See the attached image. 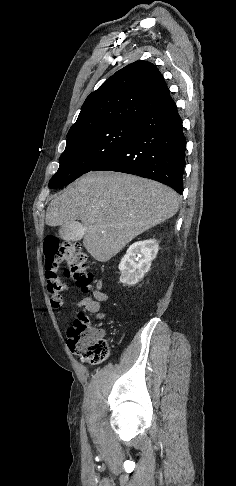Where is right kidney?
<instances>
[{"label":"right kidney","mask_w":236,"mask_h":486,"mask_svg":"<svg viewBox=\"0 0 236 486\" xmlns=\"http://www.w3.org/2000/svg\"><path fill=\"white\" fill-rule=\"evenodd\" d=\"M158 250L159 245L155 239L133 243L119 264L120 282L128 286L137 284L149 271Z\"/></svg>","instance_id":"ca27d5eb"}]
</instances>
